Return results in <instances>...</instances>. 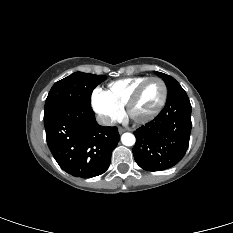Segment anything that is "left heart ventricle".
I'll list each match as a JSON object with an SVG mask.
<instances>
[{"instance_id":"left-heart-ventricle-1","label":"left heart ventricle","mask_w":233,"mask_h":233,"mask_svg":"<svg viewBox=\"0 0 233 233\" xmlns=\"http://www.w3.org/2000/svg\"><path fill=\"white\" fill-rule=\"evenodd\" d=\"M162 95L163 87L161 83L159 81L149 82L133 108L134 115L141 117L151 113L158 106Z\"/></svg>"}]
</instances>
